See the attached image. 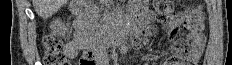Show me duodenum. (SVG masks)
<instances>
[{"instance_id": "1", "label": "duodenum", "mask_w": 232, "mask_h": 65, "mask_svg": "<svg viewBox=\"0 0 232 65\" xmlns=\"http://www.w3.org/2000/svg\"><path fill=\"white\" fill-rule=\"evenodd\" d=\"M73 11L78 16V24L85 30L89 38V49L96 54L105 51L107 47L115 43L124 44L136 31L146 29L144 19H135L129 25H119L107 30H96L93 27L92 11L83 1H76L73 4Z\"/></svg>"}]
</instances>
